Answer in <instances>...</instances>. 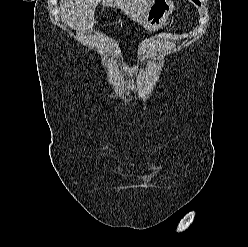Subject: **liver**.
I'll return each instance as SVG.
<instances>
[{
	"label": "liver",
	"mask_w": 248,
	"mask_h": 247,
	"mask_svg": "<svg viewBox=\"0 0 248 247\" xmlns=\"http://www.w3.org/2000/svg\"><path fill=\"white\" fill-rule=\"evenodd\" d=\"M154 0H60L63 20L80 33L91 31L94 13L97 5L102 2L104 6L119 8L131 20L142 22L148 7Z\"/></svg>",
	"instance_id": "obj_1"
}]
</instances>
